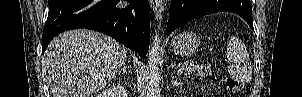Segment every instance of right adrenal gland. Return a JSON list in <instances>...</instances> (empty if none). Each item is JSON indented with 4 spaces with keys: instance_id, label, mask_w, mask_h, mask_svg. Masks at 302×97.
Listing matches in <instances>:
<instances>
[{
    "instance_id": "obj_1",
    "label": "right adrenal gland",
    "mask_w": 302,
    "mask_h": 97,
    "mask_svg": "<svg viewBox=\"0 0 302 97\" xmlns=\"http://www.w3.org/2000/svg\"><path fill=\"white\" fill-rule=\"evenodd\" d=\"M126 65L123 63L122 68L118 71V74L120 75L121 73L127 75V70H126Z\"/></svg>"
}]
</instances>
